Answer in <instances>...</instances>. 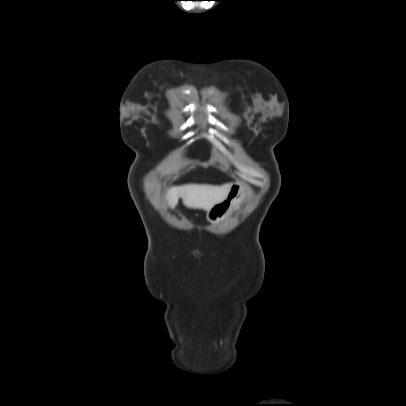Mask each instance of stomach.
I'll list each match as a JSON object with an SVG mask.
<instances>
[{
  "label": "stomach",
  "instance_id": "0dacf381",
  "mask_svg": "<svg viewBox=\"0 0 406 406\" xmlns=\"http://www.w3.org/2000/svg\"><path fill=\"white\" fill-rule=\"evenodd\" d=\"M246 193V188L242 182L238 181L231 184L226 197L207 211V221L211 224L223 222L235 208L239 207Z\"/></svg>",
  "mask_w": 406,
  "mask_h": 406
}]
</instances>
